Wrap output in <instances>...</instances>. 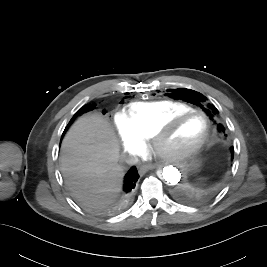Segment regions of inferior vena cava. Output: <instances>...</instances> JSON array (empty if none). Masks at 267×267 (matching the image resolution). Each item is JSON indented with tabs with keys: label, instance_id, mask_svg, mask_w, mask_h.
<instances>
[{
	"label": "inferior vena cava",
	"instance_id": "inferior-vena-cava-1",
	"mask_svg": "<svg viewBox=\"0 0 267 267\" xmlns=\"http://www.w3.org/2000/svg\"><path fill=\"white\" fill-rule=\"evenodd\" d=\"M122 160L128 165H135L139 162V159L136 155L124 154Z\"/></svg>",
	"mask_w": 267,
	"mask_h": 267
}]
</instances>
